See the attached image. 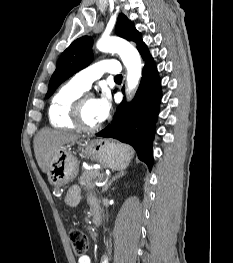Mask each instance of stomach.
<instances>
[{"label":"stomach","mask_w":233,"mask_h":263,"mask_svg":"<svg viewBox=\"0 0 233 263\" xmlns=\"http://www.w3.org/2000/svg\"><path fill=\"white\" fill-rule=\"evenodd\" d=\"M82 153L113 170L125 169L132 157V150L123 144L104 140H86L80 144ZM78 173V161L69 150L62 146L48 167L47 175L50 183L55 187H63L71 182Z\"/></svg>","instance_id":"stomach-1"}]
</instances>
